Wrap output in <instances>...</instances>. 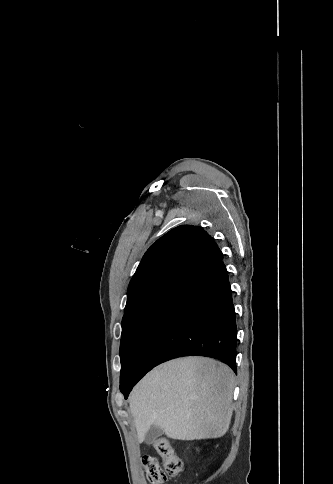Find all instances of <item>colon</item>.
<instances>
[{
  "instance_id": "colon-1",
  "label": "colon",
  "mask_w": 333,
  "mask_h": 484,
  "mask_svg": "<svg viewBox=\"0 0 333 484\" xmlns=\"http://www.w3.org/2000/svg\"><path fill=\"white\" fill-rule=\"evenodd\" d=\"M154 448L161 461L155 457L146 456L143 459V464L148 481L151 484H163L179 475L183 470V462L175 454L166 438L155 439Z\"/></svg>"
}]
</instances>
